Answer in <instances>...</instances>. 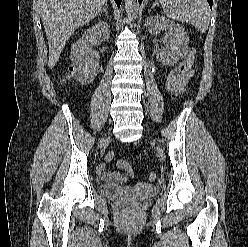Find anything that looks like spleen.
Instances as JSON below:
<instances>
[{
  "label": "spleen",
  "instance_id": "spleen-1",
  "mask_svg": "<svg viewBox=\"0 0 248 247\" xmlns=\"http://www.w3.org/2000/svg\"><path fill=\"white\" fill-rule=\"evenodd\" d=\"M167 17L194 25L204 33L209 25L207 0H159Z\"/></svg>",
  "mask_w": 248,
  "mask_h": 247
}]
</instances>
